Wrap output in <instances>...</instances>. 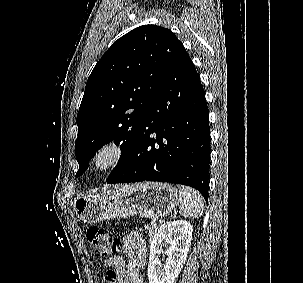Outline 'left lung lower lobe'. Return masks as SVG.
Segmentation results:
<instances>
[{
    "label": "left lung lower lobe",
    "mask_w": 303,
    "mask_h": 283,
    "mask_svg": "<svg viewBox=\"0 0 303 283\" xmlns=\"http://www.w3.org/2000/svg\"><path fill=\"white\" fill-rule=\"evenodd\" d=\"M209 110L183 49L146 110L136 145L108 184L159 181L191 186L208 199Z\"/></svg>",
    "instance_id": "0a47b994"
}]
</instances>
